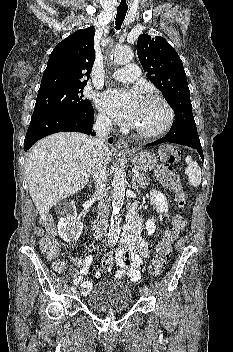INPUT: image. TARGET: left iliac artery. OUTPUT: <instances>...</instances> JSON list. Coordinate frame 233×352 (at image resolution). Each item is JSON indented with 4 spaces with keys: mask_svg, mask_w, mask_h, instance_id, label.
<instances>
[{
    "mask_svg": "<svg viewBox=\"0 0 233 352\" xmlns=\"http://www.w3.org/2000/svg\"><path fill=\"white\" fill-rule=\"evenodd\" d=\"M143 290L146 291V292H149L148 286H144V287H143Z\"/></svg>",
    "mask_w": 233,
    "mask_h": 352,
    "instance_id": "44dca946",
    "label": "left iliac artery"
}]
</instances>
